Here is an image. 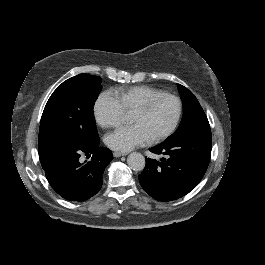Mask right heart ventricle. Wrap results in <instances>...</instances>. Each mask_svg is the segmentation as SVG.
Masks as SVG:
<instances>
[{
	"label": "right heart ventricle",
	"instance_id": "obj_1",
	"mask_svg": "<svg viewBox=\"0 0 265 265\" xmlns=\"http://www.w3.org/2000/svg\"><path fill=\"white\" fill-rule=\"evenodd\" d=\"M158 92L161 91L152 86L137 85L126 87L113 95L120 102L123 111L134 113L148 97Z\"/></svg>",
	"mask_w": 265,
	"mask_h": 265
}]
</instances>
